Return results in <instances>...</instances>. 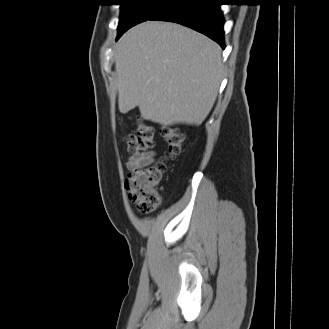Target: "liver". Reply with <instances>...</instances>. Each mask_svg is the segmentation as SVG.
<instances>
[{
  "instance_id": "6515ba94",
  "label": "liver",
  "mask_w": 329,
  "mask_h": 329,
  "mask_svg": "<svg viewBox=\"0 0 329 329\" xmlns=\"http://www.w3.org/2000/svg\"><path fill=\"white\" fill-rule=\"evenodd\" d=\"M118 107L136 106L145 120L199 125L222 80L221 48L179 24L147 21L128 30L115 54Z\"/></svg>"
}]
</instances>
